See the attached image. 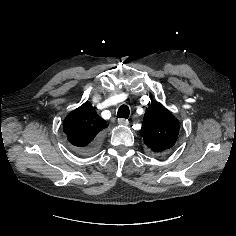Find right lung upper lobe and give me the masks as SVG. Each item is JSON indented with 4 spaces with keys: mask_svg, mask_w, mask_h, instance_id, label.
I'll return each mask as SVG.
<instances>
[{
    "mask_svg": "<svg viewBox=\"0 0 236 236\" xmlns=\"http://www.w3.org/2000/svg\"><path fill=\"white\" fill-rule=\"evenodd\" d=\"M108 126L95 111L90 102L69 113L63 122V131L68 141L79 148L91 145L98 133Z\"/></svg>",
    "mask_w": 236,
    "mask_h": 236,
    "instance_id": "cb5924a9",
    "label": "right lung upper lobe"
}]
</instances>
